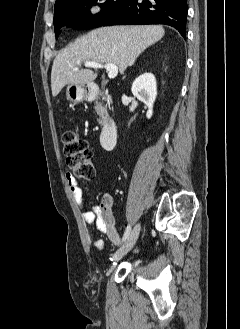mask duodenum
<instances>
[{
    "label": "duodenum",
    "instance_id": "410a0bca",
    "mask_svg": "<svg viewBox=\"0 0 240 329\" xmlns=\"http://www.w3.org/2000/svg\"><path fill=\"white\" fill-rule=\"evenodd\" d=\"M100 93V88L97 85H92L87 89L86 99L94 101ZM118 129L115 123L107 121L101 132V145L105 150H112L116 144Z\"/></svg>",
    "mask_w": 240,
    "mask_h": 329
}]
</instances>
